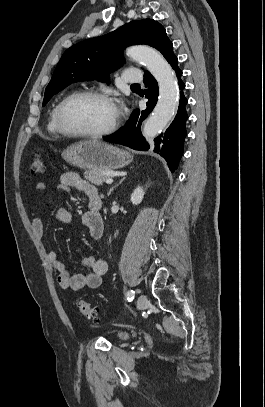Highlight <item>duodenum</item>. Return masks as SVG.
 <instances>
[{
  "label": "duodenum",
  "instance_id": "410a0bca",
  "mask_svg": "<svg viewBox=\"0 0 265 407\" xmlns=\"http://www.w3.org/2000/svg\"><path fill=\"white\" fill-rule=\"evenodd\" d=\"M91 206L93 210L100 211L102 209V201L100 198L93 199L91 201Z\"/></svg>",
  "mask_w": 265,
  "mask_h": 407
}]
</instances>
